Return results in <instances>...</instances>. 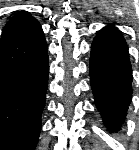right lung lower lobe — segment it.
Returning a JSON list of instances; mask_svg holds the SVG:
<instances>
[{
    "label": "right lung lower lobe",
    "mask_w": 139,
    "mask_h": 150,
    "mask_svg": "<svg viewBox=\"0 0 139 150\" xmlns=\"http://www.w3.org/2000/svg\"><path fill=\"white\" fill-rule=\"evenodd\" d=\"M48 52L40 24L20 11L0 39V150H34L48 86Z\"/></svg>",
    "instance_id": "obj_1"
}]
</instances>
